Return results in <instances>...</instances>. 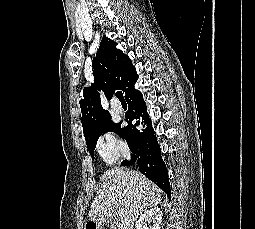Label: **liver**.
I'll use <instances>...</instances> for the list:
<instances>
[{
	"instance_id": "1",
	"label": "liver",
	"mask_w": 255,
	"mask_h": 229,
	"mask_svg": "<svg viewBox=\"0 0 255 229\" xmlns=\"http://www.w3.org/2000/svg\"><path fill=\"white\" fill-rule=\"evenodd\" d=\"M89 211V219L97 224L112 222L116 210H123L119 229H133L138 216L161 202V190L138 171L113 168L100 178Z\"/></svg>"
}]
</instances>
